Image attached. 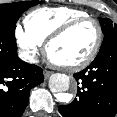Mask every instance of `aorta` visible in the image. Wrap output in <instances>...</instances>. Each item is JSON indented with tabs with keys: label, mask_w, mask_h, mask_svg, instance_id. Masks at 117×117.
Instances as JSON below:
<instances>
[{
	"label": "aorta",
	"mask_w": 117,
	"mask_h": 117,
	"mask_svg": "<svg viewBox=\"0 0 117 117\" xmlns=\"http://www.w3.org/2000/svg\"><path fill=\"white\" fill-rule=\"evenodd\" d=\"M70 77L65 74L56 73L49 79V87L51 91L56 95L59 102L69 103L72 99V95L66 93L70 88Z\"/></svg>",
	"instance_id": "1"
}]
</instances>
